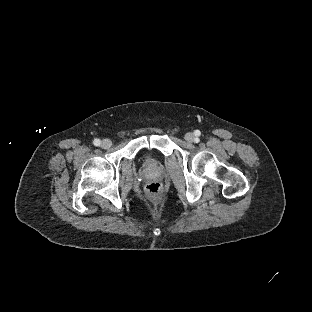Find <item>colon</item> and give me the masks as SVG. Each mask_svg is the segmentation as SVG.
I'll list each match as a JSON object with an SVG mask.
<instances>
[{
  "mask_svg": "<svg viewBox=\"0 0 312 312\" xmlns=\"http://www.w3.org/2000/svg\"><path fill=\"white\" fill-rule=\"evenodd\" d=\"M145 195L153 201H161L163 199V189L158 183H151L145 188Z\"/></svg>",
  "mask_w": 312,
  "mask_h": 312,
  "instance_id": "5ec220e1",
  "label": "colon"
}]
</instances>
